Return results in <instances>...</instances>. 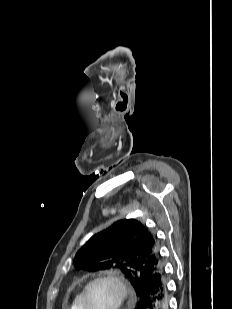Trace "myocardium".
Masks as SVG:
<instances>
[{"label":"myocardium","instance_id":"myocardium-1","mask_svg":"<svg viewBox=\"0 0 232 309\" xmlns=\"http://www.w3.org/2000/svg\"><path fill=\"white\" fill-rule=\"evenodd\" d=\"M97 282H109L112 283L118 291V301L114 309H123L128 297H129V289L123 280V278L119 274L115 273H101L92 279H90L83 288L81 295V304L82 309H89L88 306V292L90 287Z\"/></svg>","mask_w":232,"mask_h":309}]
</instances>
